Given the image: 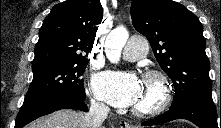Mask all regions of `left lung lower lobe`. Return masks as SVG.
Returning <instances> with one entry per match:
<instances>
[{"instance_id": "1", "label": "left lung lower lobe", "mask_w": 221, "mask_h": 128, "mask_svg": "<svg viewBox=\"0 0 221 128\" xmlns=\"http://www.w3.org/2000/svg\"><path fill=\"white\" fill-rule=\"evenodd\" d=\"M218 118L219 114L213 100L192 99L152 120L143 122L141 125H160L175 119H186L196 124L199 128H221V114L220 124Z\"/></svg>"}]
</instances>
